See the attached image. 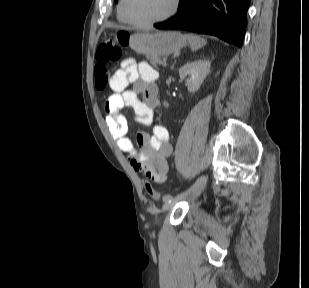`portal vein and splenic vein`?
I'll return each mask as SVG.
<instances>
[{"instance_id": "obj_1", "label": "portal vein and splenic vein", "mask_w": 309, "mask_h": 288, "mask_svg": "<svg viewBox=\"0 0 309 288\" xmlns=\"http://www.w3.org/2000/svg\"><path fill=\"white\" fill-rule=\"evenodd\" d=\"M166 61H167V58H163V63H162V64H163L164 66H166Z\"/></svg>"}]
</instances>
